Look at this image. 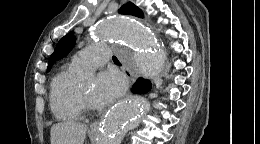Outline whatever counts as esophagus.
Returning <instances> with one entry per match:
<instances>
[{
	"instance_id": "obj_1",
	"label": "esophagus",
	"mask_w": 260,
	"mask_h": 144,
	"mask_svg": "<svg viewBox=\"0 0 260 144\" xmlns=\"http://www.w3.org/2000/svg\"><path fill=\"white\" fill-rule=\"evenodd\" d=\"M122 69H123L125 76L130 80L131 83H133L136 79V76L134 75V73L129 71L125 65L122 66ZM98 125H99V122H94L93 124H91V126H90L91 131H93V132L97 131Z\"/></svg>"
}]
</instances>
